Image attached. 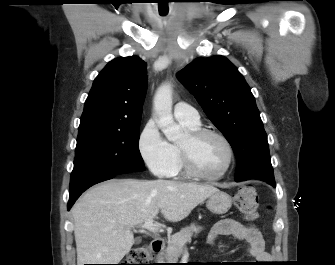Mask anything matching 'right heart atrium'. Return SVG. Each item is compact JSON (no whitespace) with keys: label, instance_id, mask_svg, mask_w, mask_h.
Here are the masks:
<instances>
[{"label":"right heart atrium","instance_id":"right-heart-atrium-1","mask_svg":"<svg viewBox=\"0 0 335 265\" xmlns=\"http://www.w3.org/2000/svg\"><path fill=\"white\" fill-rule=\"evenodd\" d=\"M139 154L156 176H167L175 164V151L160 132L156 122L149 119L138 138Z\"/></svg>","mask_w":335,"mask_h":265}]
</instances>
